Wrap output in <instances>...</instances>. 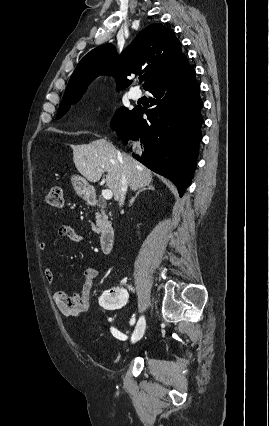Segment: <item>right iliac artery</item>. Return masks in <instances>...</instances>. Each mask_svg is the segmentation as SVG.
Segmentation results:
<instances>
[{"instance_id": "right-iliac-artery-1", "label": "right iliac artery", "mask_w": 269, "mask_h": 426, "mask_svg": "<svg viewBox=\"0 0 269 426\" xmlns=\"http://www.w3.org/2000/svg\"><path fill=\"white\" fill-rule=\"evenodd\" d=\"M129 289L133 290V288H131L130 286H129ZM134 323H135V318H134V315H133V318L130 320V325H133Z\"/></svg>"}]
</instances>
